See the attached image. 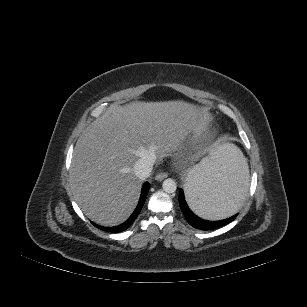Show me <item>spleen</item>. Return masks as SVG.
<instances>
[{"instance_id": "spleen-1", "label": "spleen", "mask_w": 307, "mask_h": 307, "mask_svg": "<svg viewBox=\"0 0 307 307\" xmlns=\"http://www.w3.org/2000/svg\"><path fill=\"white\" fill-rule=\"evenodd\" d=\"M248 166L236 143L220 139L188 175L185 193L200 217L222 219L236 213L248 199Z\"/></svg>"}]
</instances>
